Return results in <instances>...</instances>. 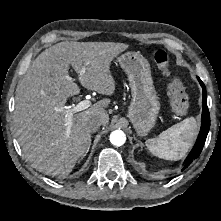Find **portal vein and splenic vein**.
<instances>
[{"mask_svg":"<svg viewBox=\"0 0 221 221\" xmlns=\"http://www.w3.org/2000/svg\"><path fill=\"white\" fill-rule=\"evenodd\" d=\"M91 106V102L89 100L80 101L77 105L65 107V114H66V127L67 133H69L70 128L72 126V117L74 113L83 111Z\"/></svg>","mask_w":221,"mask_h":221,"instance_id":"1","label":"portal vein and splenic vein"}]
</instances>
